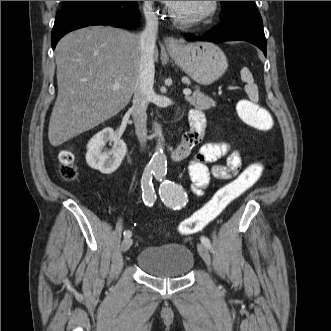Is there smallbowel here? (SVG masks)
<instances>
[{"label":"small bowel","mask_w":331,"mask_h":331,"mask_svg":"<svg viewBox=\"0 0 331 331\" xmlns=\"http://www.w3.org/2000/svg\"><path fill=\"white\" fill-rule=\"evenodd\" d=\"M190 129L186 131L180 144L171 153L174 161H183L191 156L192 148L203 139L206 119L203 112L191 110L189 112ZM226 158L225 164L218 161ZM242 168V160L238 151L231 150L228 144L210 142L203 144L192 156L188 163V173L192 181L193 193L199 195L211 178L231 180Z\"/></svg>","instance_id":"c3829d8e"}]
</instances>
